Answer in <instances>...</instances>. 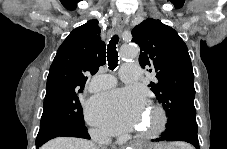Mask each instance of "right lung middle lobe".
Instances as JSON below:
<instances>
[{
	"instance_id": "obj_1",
	"label": "right lung middle lobe",
	"mask_w": 227,
	"mask_h": 149,
	"mask_svg": "<svg viewBox=\"0 0 227 149\" xmlns=\"http://www.w3.org/2000/svg\"><path fill=\"white\" fill-rule=\"evenodd\" d=\"M83 88H54L46 90L40 128L84 125L78 93Z\"/></svg>"
}]
</instances>
